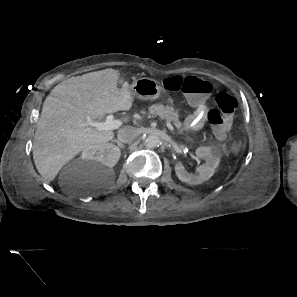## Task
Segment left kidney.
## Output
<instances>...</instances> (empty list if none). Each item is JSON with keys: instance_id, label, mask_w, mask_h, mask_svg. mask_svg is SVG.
<instances>
[{"instance_id": "1", "label": "left kidney", "mask_w": 297, "mask_h": 297, "mask_svg": "<svg viewBox=\"0 0 297 297\" xmlns=\"http://www.w3.org/2000/svg\"><path fill=\"white\" fill-rule=\"evenodd\" d=\"M195 153L199 159L205 160V163L196 169V174L187 172L181 162L174 166L178 179L189 185H199L210 179L220 163V156L211 147H199Z\"/></svg>"}]
</instances>
